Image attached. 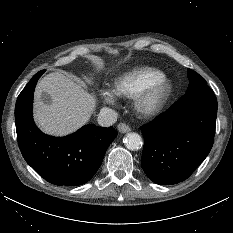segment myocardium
<instances>
[{"instance_id": "myocardium-1", "label": "myocardium", "mask_w": 233, "mask_h": 233, "mask_svg": "<svg viewBox=\"0 0 233 233\" xmlns=\"http://www.w3.org/2000/svg\"><path fill=\"white\" fill-rule=\"evenodd\" d=\"M173 92L171 81L162 77L151 83L135 97V109L145 118L159 115L169 102Z\"/></svg>"}]
</instances>
